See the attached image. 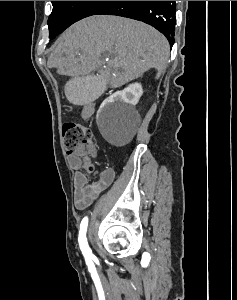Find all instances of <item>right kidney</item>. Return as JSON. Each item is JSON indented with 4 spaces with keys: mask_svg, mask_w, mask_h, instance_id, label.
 Returning a JSON list of instances; mask_svg holds the SVG:
<instances>
[{
    "mask_svg": "<svg viewBox=\"0 0 237 300\" xmlns=\"http://www.w3.org/2000/svg\"><path fill=\"white\" fill-rule=\"evenodd\" d=\"M142 95L143 89L140 83H133V85H128L123 91H117V93L108 97V99L102 103L100 109H102L106 103H112V101H124V103H129V105H137Z\"/></svg>",
    "mask_w": 237,
    "mask_h": 300,
    "instance_id": "ca27d5eb",
    "label": "right kidney"
}]
</instances>
